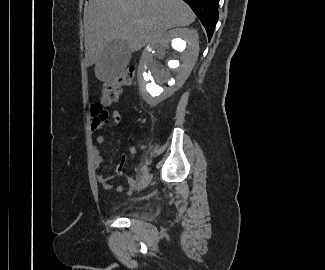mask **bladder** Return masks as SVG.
Listing matches in <instances>:
<instances>
[{"label": "bladder", "instance_id": "31cf9c89", "mask_svg": "<svg viewBox=\"0 0 325 270\" xmlns=\"http://www.w3.org/2000/svg\"><path fill=\"white\" fill-rule=\"evenodd\" d=\"M125 212H128V213H131L133 211H135L134 208H127V209H124Z\"/></svg>", "mask_w": 325, "mask_h": 270}]
</instances>
